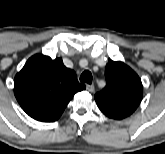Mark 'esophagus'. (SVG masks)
<instances>
[{"label": "esophagus", "instance_id": "34e87169", "mask_svg": "<svg viewBox=\"0 0 165 154\" xmlns=\"http://www.w3.org/2000/svg\"><path fill=\"white\" fill-rule=\"evenodd\" d=\"M86 89L89 91V92H94V85H90V84H87L86 85Z\"/></svg>", "mask_w": 165, "mask_h": 154}]
</instances>
